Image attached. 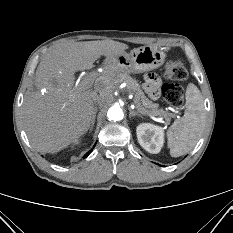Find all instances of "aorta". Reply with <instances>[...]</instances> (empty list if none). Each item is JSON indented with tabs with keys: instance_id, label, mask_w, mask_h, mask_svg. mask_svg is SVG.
Wrapping results in <instances>:
<instances>
[{
	"instance_id": "762f6f07",
	"label": "aorta",
	"mask_w": 233,
	"mask_h": 233,
	"mask_svg": "<svg viewBox=\"0 0 233 233\" xmlns=\"http://www.w3.org/2000/svg\"><path fill=\"white\" fill-rule=\"evenodd\" d=\"M107 116L110 120L113 121H119L123 119V111L120 107L118 106H112L107 113Z\"/></svg>"
}]
</instances>
